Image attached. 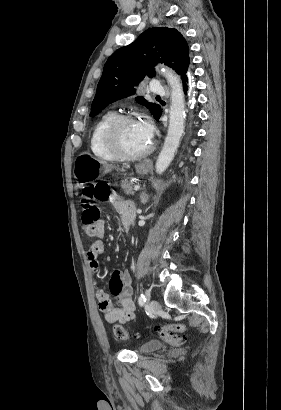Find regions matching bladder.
Listing matches in <instances>:
<instances>
[{"instance_id":"bladder-1","label":"bladder","mask_w":281,"mask_h":410,"mask_svg":"<svg viewBox=\"0 0 281 410\" xmlns=\"http://www.w3.org/2000/svg\"><path fill=\"white\" fill-rule=\"evenodd\" d=\"M163 347H164V343L160 341H156V340H150L140 345L138 351L140 353L145 354V353H151V352L158 351L162 349Z\"/></svg>"}]
</instances>
